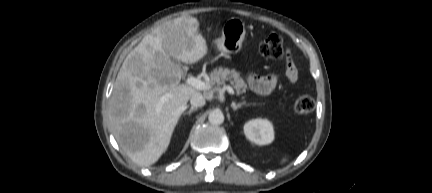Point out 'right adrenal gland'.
Wrapping results in <instances>:
<instances>
[{"label":"right adrenal gland","mask_w":432,"mask_h":193,"mask_svg":"<svg viewBox=\"0 0 432 193\" xmlns=\"http://www.w3.org/2000/svg\"><path fill=\"white\" fill-rule=\"evenodd\" d=\"M197 110V108L196 107H191L190 109H189V111H187V112H184V115L185 114H187V115H191L192 114V112H194V111H196Z\"/></svg>","instance_id":"1"}]
</instances>
